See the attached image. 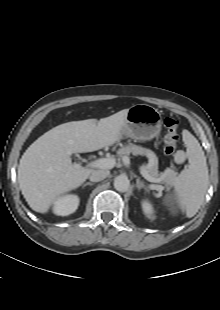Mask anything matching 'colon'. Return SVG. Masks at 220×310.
<instances>
[{"label": "colon", "instance_id": "5ec220e1", "mask_svg": "<svg viewBox=\"0 0 220 310\" xmlns=\"http://www.w3.org/2000/svg\"><path fill=\"white\" fill-rule=\"evenodd\" d=\"M164 152L167 155H173L177 162H182L185 159V154L177 150L179 141V121L174 117H166L164 120Z\"/></svg>", "mask_w": 220, "mask_h": 310}]
</instances>
